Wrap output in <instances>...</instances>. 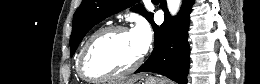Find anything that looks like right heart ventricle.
Here are the masks:
<instances>
[{
  "mask_svg": "<svg viewBox=\"0 0 260 84\" xmlns=\"http://www.w3.org/2000/svg\"><path fill=\"white\" fill-rule=\"evenodd\" d=\"M91 35H92V34H91ZM91 35H89V36L86 38V40H85L84 43L82 44V46H81V48H80V50H79V52H78V54H77L76 62H75V67H76L77 72H78L79 57H80V55H81V52H82V50H83V48H84L86 42H87L88 39L91 37ZM78 74H79V72H78Z\"/></svg>",
  "mask_w": 260,
  "mask_h": 84,
  "instance_id": "right-heart-ventricle-1",
  "label": "right heart ventricle"
}]
</instances>
